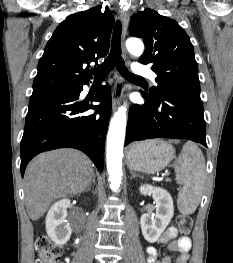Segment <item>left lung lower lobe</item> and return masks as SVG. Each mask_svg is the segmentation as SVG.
<instances>
[{
  "label": "left lung lower lobe",
  "mask_w": 233,
  "mask_h": 263,
  "mask_svg": "<svg viewBox=\"0 0 233 263\" xmlns=\"http://www.w3.org/2000/svg\"><path fill=\"white\" fill-rule=\"evenodd\" d=\"M146 102L133 105L126 129L125 146L135 140L180 138L206 144V124L200 92L168 89L154 98L143 93Z\"/></svg>",
  "instance_id": "1"
}]
</instances>
